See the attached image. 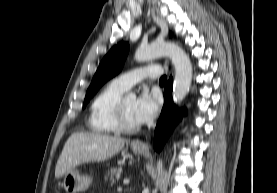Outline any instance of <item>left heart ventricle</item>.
<instances>
[{"label":"left heart ventricle","mask_w":277,"mask_h":193,"mask_svg":"<svg viewBox=\"0 0 277 193\" xmlns=\"http://www.w3.org/2000/svg\"><path fill=\"white\" fill-rule=\"evenodd\" d=\"M123 105H124V110H125V115L127 117V120L130 123L139 124L138 121L135 119V116H134L135 100L134 99H125L123 101Z\"/></svg>","instance_id":"left-heart-ventricle-1"}]
</instances>
